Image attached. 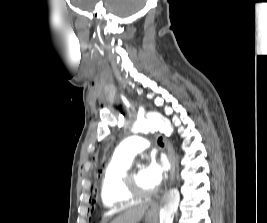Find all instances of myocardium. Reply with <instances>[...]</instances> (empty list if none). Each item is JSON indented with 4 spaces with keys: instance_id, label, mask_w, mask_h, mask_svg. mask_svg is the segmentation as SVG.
Masks as SVG:
<instances>
[{
    "instance_id": "myocardium-1",
    "label": "myocardium",
    "mask_w": 267,
    "mask_h": 223,
    "mask_svg": "<svg viewBox=\"0 0 267 223\" xmlns=\"http://www.w3.org/2000/svg\"><path fill=\"white\" fill-rule=\"evenodd\" d=\"M139 167L140 165H136L132 168H129L123 178L124 191L130 200H147L156 193L155 191L144 192L138 189L135 182L134 173Z\"/></svg>"
}]
</instances>
